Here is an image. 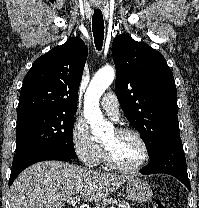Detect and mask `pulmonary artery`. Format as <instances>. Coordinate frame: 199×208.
Here are the masks:
<instances>
[{
  "label": "pulmonary artery",
  "mask_w": 199,
  "mask_h": 208,
  "mask_svg": "<svg viewBox=\"0 0 199 208\" xmlns=\"http://www.w3.org/2000/svg\"><path fill=\"white\" fill-rule=\"evenodd\" d=\"M101 107L113 119L119 118V103L116 94L113 91L107 92L100 101Z\"/></svg>",
  "instance_id": "pulmonary-artery-1"
}]
</instances>
